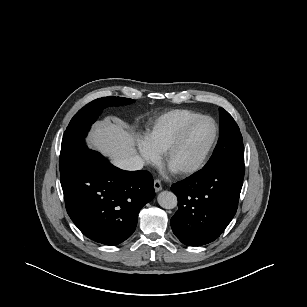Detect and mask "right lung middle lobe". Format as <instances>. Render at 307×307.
<instances>
[{"mask_svg":"<svg viewBox=\"0 0 307 307\" xmlns=\"http://www.w3.org/2000/svg\"><path fill=\"white\" fill-rule=\"evenodd\" d=\"M133 102L123 97H103L80 109L71 119L62 139L60 153V173L68 169L78 158L85 145V137L102 110L108 106L125 105Z\"/></svg>","mask_w":307,"mask_h":307,"instance_id":"right-lung-middle-lobe-1","label":"right lung middle lobe"}]
</instances>
